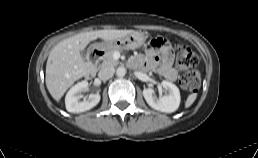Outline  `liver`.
Wrapping results in <instances>:
<instances>
[{
  "instance_id": "6515ba94",
  "label": "liver",
  "mask_w": 258,
  "mask_h": 158,
  "mask_svg": "<svg viewBox=\"0 0 258 158\" xmlns=\"http://www.w3.org/2000/svg\"><path fill=\"white\" fill-rule=\"evenodd\" d=\"M133 32L132 30H97L76 34L59 42L50 52L46 64V86L59 102L67 89L78 79L88 75L91 64L82 55L86 46L97 38L112 41Z\"/></svg>"
}]
</instances>
